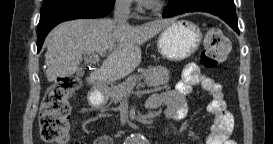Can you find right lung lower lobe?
Wrapping results in <instances>:
<instances>
[{
  "label": "right lung lower lobe",
  "mask_w": 273,
  "mask_h": 144,
  "mask_svg": "<svg viewBox=\"0 0 273 144\" xmlns=\"http://www.w3.org/2000/svg\"><path fill=\"white\" fill-rule=\"evenodd\" d=\"M115 0H45L37 28V51L47 34L57 24L79 18H100L108 15Z\"/></svg>",
  "instance_id": "1"
}]
</instances>
